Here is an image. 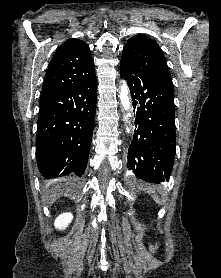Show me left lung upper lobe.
I'll return each mask as SVG.
<instances>
[{"instance_id": "5c2ea615", "label": "left lung upper lobe", "mask_w": 221, "mask_h": 278, "mask_svg": "<svg viewBox=\"0 0 221 278\" xmlns=\"http://www.w3.org/2000/svg\"><path fill=\"white\" fill-rule=\"evenodd\" d=\"M120 69L142 76H155L172 83L165 57L158 44L149 37L138 34L128 40L123 48Z\"/></svg>"}]
</instances>
